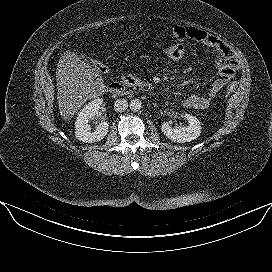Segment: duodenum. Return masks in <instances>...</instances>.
Wrapping results in <instances>:
<instances>
[{
    "instance_id": "410a0bca",
    "label": "duodenum",
    "mask_w": 272,
    "mask_h": 272,
    "mask_svg": "<svg viewBox=\"0 0 272 272\" xmlns=\"http://www.w3.org/2000/svg\"><path fill=\"white\" fill-rule=\"evenodd\" d=\"M141 88L148 90V87L142 86L138 79L131 75H123L119 81L112 82L108 86V91L115 95H127L132 89Z\"/></svg>"
}]
</instances>
